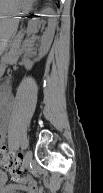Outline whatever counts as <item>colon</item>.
<instances>
[{
    "instance_id": "1",
    "label": "colon",
    "mask_w": 103,
    "mask_h": 193,
    "mask_svg": "<svg viewBox=\"0 0 103 193\" xmlns=\"http://www.w3.org/2000/svg\"><path fill=\"white\" fill-rule=\"evenodd\" d=\"M1 167L15 175H19L26 171L22 161L11 152L6 151L4 148L0 156Z\"/></svg>"
}]
</instances>
